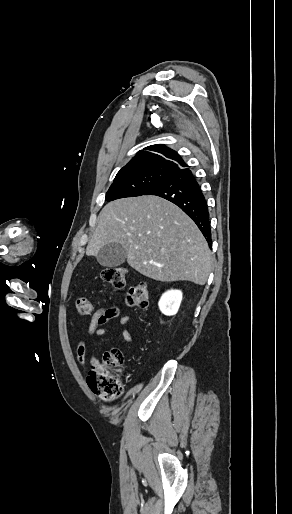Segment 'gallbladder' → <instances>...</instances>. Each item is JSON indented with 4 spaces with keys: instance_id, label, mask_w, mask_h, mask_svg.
Returning a JSON list of instances; mask_svg holds the SVG:
<instances>
[{
    "instance_id": "1",
    "label": "gallbladder",
    "mask_w": 292,
    "mask_h": 514,
    "mask_svg": "<svg viewBox=\"0 0 292 514\" xmlns=\"http://www.w3.org/2000/svg\"><path fill=\"white\" fill-rule=\"evenodd\" d=\"M96 258L100 266L116 268L125 262L126 252L119 242H109L100 248Z\"/></svg>"
}]
</instances>
